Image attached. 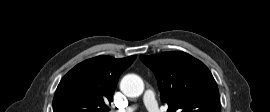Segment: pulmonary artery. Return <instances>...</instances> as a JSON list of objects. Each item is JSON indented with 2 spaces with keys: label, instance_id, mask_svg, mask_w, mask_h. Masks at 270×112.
<instances>
[{
  "label": "pulmonary artery",
  "instance_id": "1",
  "mask_svg": "<svg viewBox=\"0 0 270 112\" xmlns=\"http://www.w3.org/2000/svg\"><path fill=\"white\" fill-rule=\"evenodd\" d=\"M144 103L149 112H161V109L156 101L155 93L152 90H147L144 94ZM136 109L135 106L121 109L116 112H133Z\"/></svg>",
  "mask_w": 270,
  "mask_h": 112
}]
</instances>
